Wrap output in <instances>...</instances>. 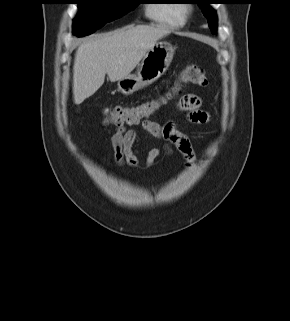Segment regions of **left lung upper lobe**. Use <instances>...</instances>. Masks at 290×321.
Instances as JSON below:
<instances>
[{"instance_id":"1","label":"left lung upper lobe","mask_w":290,"mask_h":321,"mask_svg":"<svg viewBox=\"0 0 290 321\" xmlns=\"http://www.w3.org/2000/svg\"><path fill=\"white\" fill-rule=\"evenodd\" d=\"M199 2L197 3L201 8L204 13V15L207 17L209 27L213 33L216 32V25H217V18H216V13L215 11L208 6L210 4L211 0H198Z\"/></svg>"}]
</instances>
